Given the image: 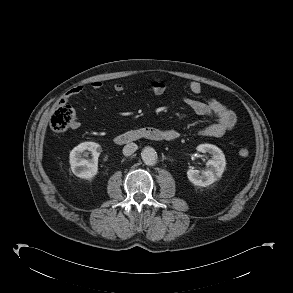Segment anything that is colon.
I'll use <instances>...</instances> for the list:
<instances>
[{
	"instance_id": "5ec220e1",
	"label": "colon",
	"mask_w": 293,
	"mask_h": 293,
	"mask_svg": "<svg viewBox=\"0 0 293 293\" xmlns=\"http://www.w3.org/2000/svg\"><path fill=\"white\" fill-rule=\"evenodd\" d=\"M75 122V111L66 102L60 101L54 108L50 120V127L56 133H63ZM240 157H248L249 150L245 147L238 151Z\"/></svg>"
}]
</instances>
